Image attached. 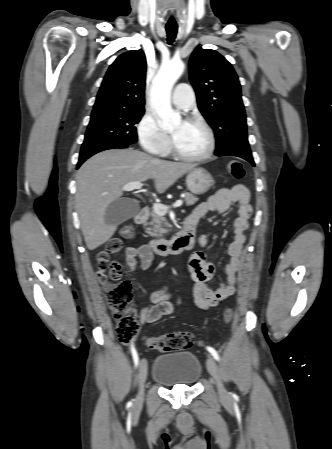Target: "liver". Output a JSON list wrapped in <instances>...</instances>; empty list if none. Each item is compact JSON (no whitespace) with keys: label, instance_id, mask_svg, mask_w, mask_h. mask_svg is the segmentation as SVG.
<instances>
[{"label":"liver","instance_id":"obj_1","mask_svg":"<svg viewBox=\"0 0 332 449\" xmlns=\"http://www.w3.org/2000/svg\"><path fill=\"white\" fill-rule=\"evenodd\" d=\"M194 165L152 158L133 149L107 150L87 160L76 176V208L89 250L107 242L117 229L105 222L107 207L123 194L128 183L153 179L163 193Z\"/></svg>","mask_w":332,"mask_h":449}]
</instances>
